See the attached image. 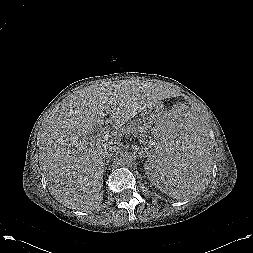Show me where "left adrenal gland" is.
I'll list each match as a JSON object with an SVG mask.
<instances>
[{
  "label": "left adrenal gland",
  "mask_w": 253,
  "mask_h": 253,
  "mask_svg": "<svg viewBox=\"0 0 253 253\" xmlns=\"http://www.w3.org/2000/svg\"><path fill=\"white\" fill-rule=\"evenodd\" d=\"M137 151H138V153H139V156L142 157V156H143V149H139V148H138Z\"/></svg>",
  "instance_id": "1"
}]
</instances>
